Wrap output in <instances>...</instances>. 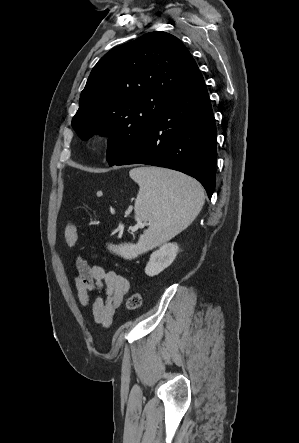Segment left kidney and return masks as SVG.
I'll return each instance as SVG.
<instances>
[{"label": "left kidney", "mask_w": 299, "mask_h": 443, "mask_svg": "<svg viewBox=\"0 0 299 443\" xmlns=\"http://www.w3.org/2000/svg\"><path fill=\"white\" fill-rule=\"evenodd\" d=\"M178 245L176 243H166L158 250L154 251L145 267L148 276L158 275L165 268L170 266L176 258Z\"/></svg>", "instance_id": "left-kidney-1"}]
</instances>
